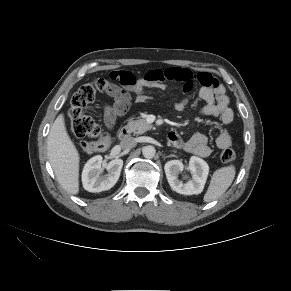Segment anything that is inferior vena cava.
<instances>
[{"label": "inferior vena cava", "instance_id": "602c4592", "mask_svg": "<svg viewBox=\"0 0 291 291\" xmlns=\"http://www.w3.org/2000/svg\"><path fill=\"white\" fill-rule=\"evenodd\" d=\"M136 140L133 137H127L120 142L123 149H131L136 145Z\"/></svg>", "mask_w": 291, "mask_h": 291}]
</instances>
